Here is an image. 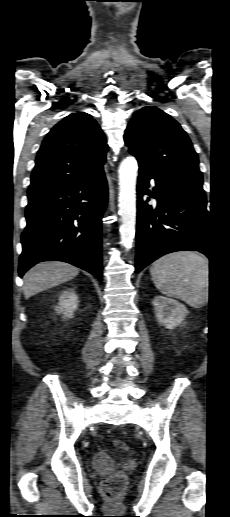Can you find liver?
Listing matches in <instances>:
<instances>
[{
  "mask_svg": "<svg viewBox=\"0 0 230 517\" xmlns=\"http://www.w3.org/2000/svg\"><path fill=\"white\" fill-rule=\"evenodd\" d=\"M79 273V269L60 261H46L36 264L23 277V291L26 299L67 282Z\"/></svg>",
  "mask_w": 230,
  "mask_h": 517,
  "instance_id": "1",
  "label": "liver"
}]
</instances>
